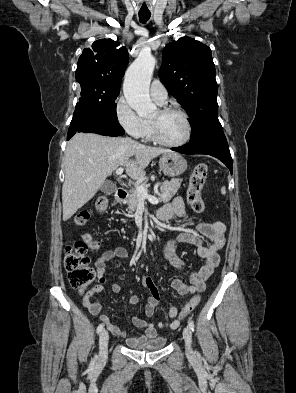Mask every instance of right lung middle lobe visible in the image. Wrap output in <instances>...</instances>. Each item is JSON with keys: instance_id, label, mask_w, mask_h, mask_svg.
I'll use <instances>...</instances> for the list:
<instances>
[{"instance_id": "obj_1", "label": "right lung middle lobe", "mask_w": 296, "mask_h": 393, "mask_svg": "<svg viewBox=\"0 0 296 393\" xmlns=\"http://www.w3.org/2000/svg\"><path fill=\"white\" fill-rule=\"evenodd\" d=\"M119 92H103L92 87H81V97L76 108H86L106 118L118 120L115 100Z\"/></svg>"}]
</instances>
